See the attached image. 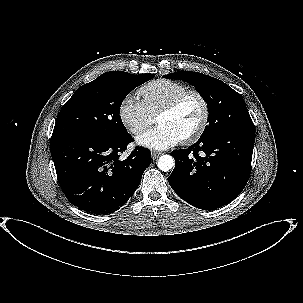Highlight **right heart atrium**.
Segmentation results:
<instances>
[{
	"instance_id": "obj_1",
	"label": "right heart atrium",
	"mask_w": 303,
	"mask_h": 303,
	"mask_svg": "<svg viewBox=\"0 0 303 303\" xmlns=\"http://www.w3.org/2000/svg\"><path fill=\"white\" fill-rule=\"evenodd\" d=\"M119 117L123 125L133 135L141 134L154 121L142 100L134 95H126L119 105Z\"/></svg>"
}]
</instances>
